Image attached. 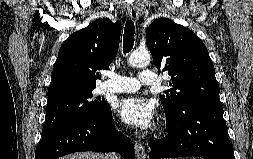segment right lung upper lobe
Listing matches in <instances>:
<instances>
[{
    "mask_svg": "<svg viewBox=\"0 0 253 159\" xmlns=\"http://www.w3.org/2000/svg\"><path fill=\"white\" fill-rule=\"evenodd\" d=\"M121 24L99 19L73 33L61 46L52 73L48 99L92 91L98 70L109 69L120 41Z\"/></svg>",
    "mask_w": 253,
    "mask_h": 159,
    "instance_id": "1",
    "label": "right lung upper lobe"
}]
</instances>
